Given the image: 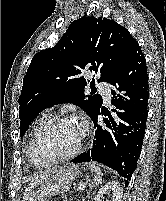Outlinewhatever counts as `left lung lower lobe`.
Instances as JSON below:
<instances>
[{"mask_svg": "<svg viewBox=\"0 0 166 201\" xmlns=\"http://www.w3.org/2000/svg\"><path fill=\"white\" fill-rule=\"evenodd\" d=\"M112 90L113 118L101 108L92 118L96 127L91 149L72 160L73 163L97 161L116 170L128 185L137 167L148 115L149 85L144 54L137 43L131 55L109 82ZM105 126L98 124V115Z\"/></svg>", "mask_w": 166, "mask_h": 201, "instance_id": "0a47b994", "label": "left lung lower lobe"}]
</instances>
